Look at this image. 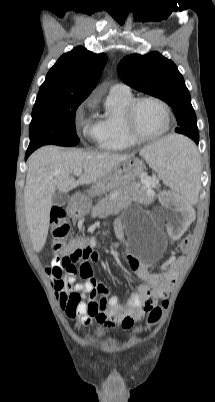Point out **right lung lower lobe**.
Here are the masks:
<instances>
[{"label": "right lung lower lobe", "instance_id": "obj_1", "mask_svg": "<svg viewBox=\"0 0 215 402\" xmlns=\"http://www.w3.org/2000/svg\"><path fill=\"white\" fill-rule=\"evenodd\" d=\"M32 152H33V151L27 150L25 159H27V157H28Z\"/></svg>", "mask_w": 215, "mask_h": 402}]
</instances>
